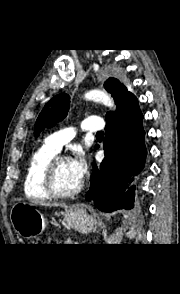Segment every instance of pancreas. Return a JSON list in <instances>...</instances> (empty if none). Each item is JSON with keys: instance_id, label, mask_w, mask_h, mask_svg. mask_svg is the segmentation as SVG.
Wrapping results in <instances>:
<instances>
[{"instance_id": "1", "label": "pancreas", "mask_w": 180, "mask_h": 294, "mask_svg": "<svg viewBox=\"0 0 180 294\" xmlns=\"http://www.w3.org/2000/svg\"><path fill=\"white\" fill-rule=\"evenodd\" d=\"M65 244H72L71 242H66Z\"/></svg>"}]
</instances>
